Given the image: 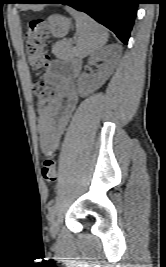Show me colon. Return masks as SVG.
<instances>
[{"instance_id": "obj_1", "label": "colon", "mask_w": 166, "mask_h": 267, "mask_svg": "<svg viewBox=\"0 0 166 267\" xmlns=\"http://www.w3.org/2000/svg\"><path fill=\"white\" fill-rule=\"evenodd\" d=\"M50 42L49 25L44 19H33L29 22L25 33V48L30 66L41 70L48 66L47 48ZM38 106L45 108L56 99L55 90L47 83L37 80L32 84ZM43 179L49 184L57 182V166L53 156L48 155L41 169Z\"/></svg>"}]
</instances>
